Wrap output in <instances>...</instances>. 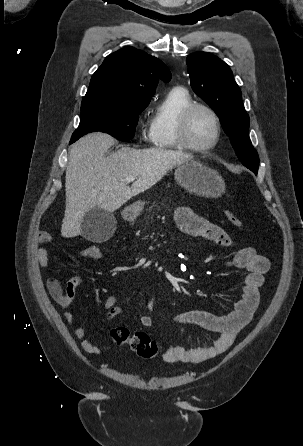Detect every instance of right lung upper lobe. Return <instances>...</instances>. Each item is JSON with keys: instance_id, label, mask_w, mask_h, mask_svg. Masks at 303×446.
Instances as JSON below:
<instances>
[{"instance_id": "obj_1", "label": "right lung upper lobe", "mask_w": 303, "mask_h": 446, "mask_svg": "<svg viewBox=\"0 0 303 446\" xmlns=\"http://www.w3.org/2000/svg\"><path fill=\"white\" fill-rule=\"evenodd\" d=\"M166 65L134 47H124L108 55L91 78L81 106L148 105L158 80L168 82Z\"/></svg>"}]
</instances>
